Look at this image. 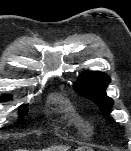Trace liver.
Here are the masks:
<instances>
[{"instance_id":"1","label":"liver","mask_w":131,"mask_h":151,"mask_svg":"<svg viewBox=\"0 0 131 151\" xmlns=\"http://www.w3.org/2000/svg\"><path fill=\"white\" fill-rule=\"evenodd\" d=\"M68 147H52L48 151H67Z\"/></svg>"}]
</instances>
